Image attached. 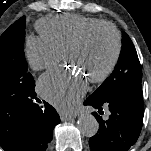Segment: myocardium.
Returning <instances> with one entry per match:
<instances>
[{
	"instance_id": "f54148a6",
	"label": "myocardium",
	"mask_w": 151,
	"mask_h": 151,
	"mask_svg": "<svg viewBox=\"0 0 151 151\" xmlns=\"http://www.w3.org/2000/svg\"><path fill=\"white\" fill-rule=\"evenodd\" d=\"M102 29L109 30L112 34L114 40V52L108 66L100 74L90 78V81L93 83H99L106 80L114 71L119 61L121 54V37L117 28L109 22H101L94 24L87 28L77 39L72 41L64 51L65 58L68 59L71 53L82 48L88 42L92 34Z\"/></svg>"
}]
</instances>
